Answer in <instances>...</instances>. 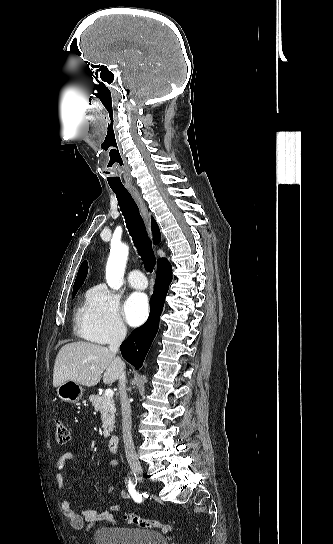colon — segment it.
Returning a JSON list of instances; mask_svg holds the SVG:
<instances>
[{"mask_svg":"<svg viewBox=\"0 0 333 544\" xmlns=\"http://www.w3.org/2000/svg\"><path fill=\"white\" fill-rule=\"evenodd\" d=\"M54 436L59 444H67L71 440V432L64 422L55 420ZM128 522L136 524L143 528L160 529L165 533H172L176 530V526L172 523H162L158 520L146 517H140L133 513H128L124 517Z\"/></svg>","mask_w":333,"mask_h":544,"instance_id":"5ec220e1","label":"colon"}]
</instances>
